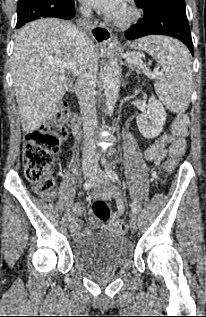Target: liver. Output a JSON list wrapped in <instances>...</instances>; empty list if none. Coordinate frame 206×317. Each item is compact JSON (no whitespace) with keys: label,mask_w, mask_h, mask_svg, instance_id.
<instances>
[{"label":"liver","mask_w":206,"mask_h":317,"mask_svg":"<svg viewBox=\"0 0 206 317\" xmlns=\"http://www.w3.org/2000/svg\"><path fill=\"white\" fill-rule=\"evenodd\" d=\"M67 21L39 19L22 27L12 55V75L24 132L39 129L56 112L68 83L70 69L48 63L65 60L79 69L77 35Z\"/></svg>","instance_id":"obj_1"}]
</instances>
